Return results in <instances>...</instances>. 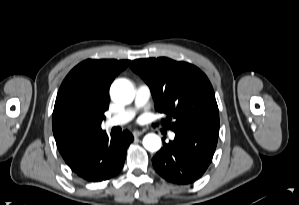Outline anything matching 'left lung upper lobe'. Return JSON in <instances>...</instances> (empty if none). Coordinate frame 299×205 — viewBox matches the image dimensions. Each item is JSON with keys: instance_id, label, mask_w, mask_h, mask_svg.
Returning <instances> with one entry per match:
<instances>
[{"instance_id": "left-lung-upper-lobe-1", "label": "left lung upper lobe", "mask_w": 299, "mask_h": 205, "mask_svg": "<svg viewBox=\"0 0 299 205\" xmlns=\"http://www.w3.org/2000/svg\"><path fill=\"white\" fill-rule=\"evenodd\" d=\"M130 67L150 87L156 109L173 119L165 122L168 129L219 127L215 94L200 69L165 57L137 59Z\"/></svg>"}]
</instances>
